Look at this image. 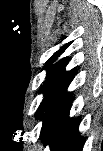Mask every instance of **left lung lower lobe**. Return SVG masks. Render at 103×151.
I'll list each match as a JSON object with an SVG mask.
<instances>
[{"label":"left lung lower lobe","mask_w":103,"mask_h":151,"mask_svg":"<svg viewBox=\"0 0 103 151\" xmlns=\"http://www.w3.org/2000/svg\"><path fill=\"white\" fill-rule=\"evenodd\" d=\"M54 59L40 86L43 96L35 118L42 125L41 138L52 151H82L84 137L78 116L72 113L74 99L69 91L74 72L67 71L68 58Z\"/></svg>","instance_id":"left-lung-lower-lobe-1"}]
</instances>
